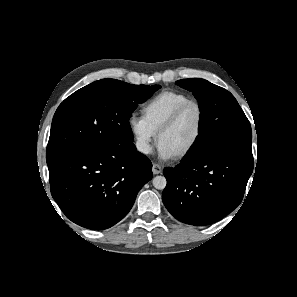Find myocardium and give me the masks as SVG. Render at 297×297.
Instances as JSON below:
<instances>
[{
  "mask_svg": "<svg viewBox=\"0 0 297 297\" xmlns=\"http://www.w3.org/2000/svg\"><path fill=\"white\" fill-rule=\"evenodd\" d=\"M190 106L195 107L198 111L199 124H198L197 133H196L193 141L183 151H181L180 153H178L177 155L174 156L176 159H182V158H185L186 156H188L189 154H191L194 151V149L197 147V145L199 144V142L202 138L203 131H204L205 124H206V115H205V111H204L203 107L201 106V104L196 100H189V101L181 104L179 107H177L173 111V113L168 117V119L161 125V127L159 128V130L157 131V134H156V139L159 142L161 136L165 132L170 130L177 123V121L180 119V117L182 116L184 111Z\"/></svg>",
  "mask_w": 297,
  "mask_h": 297,
  "instance_id": "1",
  "label": "myocardium"
}]
</instances>
